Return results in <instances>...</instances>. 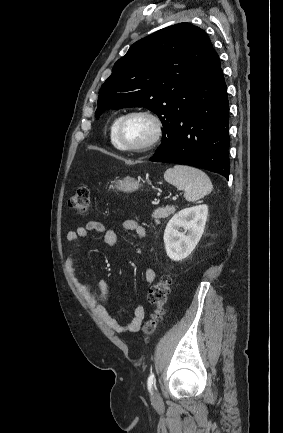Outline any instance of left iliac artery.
<instances>
[{
    "label": "left iliac artery",
    "instance_id": "obj_1",
    "mask_svg": "<svg viewBox=\"0 0 283 433\" xmlns=\"http://www.w3.org/2000/svg\"><path fill=\"white\" fill-rule=\"evenodd\" d=\"M154 380H155V375H154V373H151L150 376L148 377V381H147L148 389L150 392L152 391Z\"/></svg>",
    "mask_w": 283,
    "mask_h": 433
}]
</instances>
